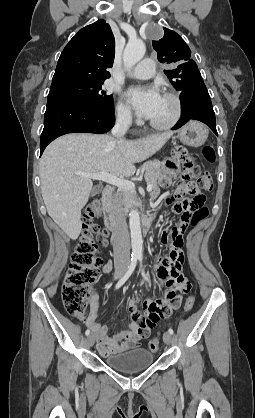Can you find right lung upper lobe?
<instances>
[{"instance_id": "cb5924a9", "label": "right lung upper lobe", "mask_w": 255, "mask_h": 418, "mask_svg": "<svg viewBox=\"0 0 255 418\" xmlns=\"http://www.w3.org/2000/svg\"><path fill=\"white\" fill-rule=\"evenodd\" d=\"M115 40L104 20L82 28L62 51L52 85L85 81L104 82L114 61Z\"/></svg>"}]
</instances>
